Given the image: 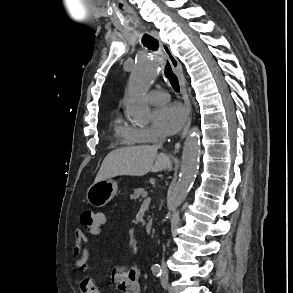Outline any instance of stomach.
Instances as JSON below:
<instances>
[{
    "instance_id": "0dacf381",
    "label": "stomach",
    "mask_w": 293,
    "mask_h": 293,
    "mask_svg": "<svg viewBox=\"0 0 293 293\" xmlns=\"http://www.w3.org/2000/svg\"><path fill=\"white\" fill-rule=\"evenodd\" d=\"M117 183L111 179L92 184L87 190V201L95 207L105 206L117 193Z\"/></svg>"
}]
</instances>
